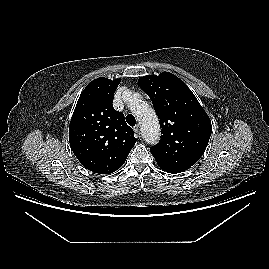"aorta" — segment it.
Returning a JSON list of instances; mask_svg holds the SVG:
<instances>
[{
    "instance_id": "aorta-1",
    "label": "aorta",
    "mask_w": 269,
    "mask_h": 269,
    "mask_svg": "<svg viewBox=\"0 0 269 269\" xmlns=\"http://www.w3.org/2000/svg\"><path fill=\"white\" fill-rule=\"evenodd\" d=\"M128 105L141 124L145 142L151 145L156 144L160 137V125L153 108L137 93L130 94Z\"/></svg>"
}]
</instances>
